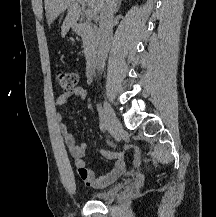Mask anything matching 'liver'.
<instances>
[{
	"label": "liver",
	"instance_id": "6515ba94",
	"mask_svg": "<svg viewBox=\"0 0 216 217\" xmlns=\"http://www.w3.org/2000/svg\"><path fill=\"white\" fill-rule=\"evenodd\" d=\"M90 10L95 14L100 13L104 0H84ZM48 25L64 11L67 16L61 26V34L64 36L70 27L74 26L80 17L81 8L77 0H44Z\"/></svg>",
	"mask_w": 216,
	"mask_h": 217
}]
</instances>
